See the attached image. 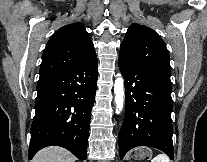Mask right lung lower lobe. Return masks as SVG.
I'll return each instance as SVG.
<instances>
[{
	"label": "right lung lower lobe",
	"mask_w": 207,
	"mask_h": 162,
	"mask_svg": "<svg viewBox=\"0 0 207 162\" xmlns=\"http://www.w3.org/2000/svg\"><path fill=\"white\" fill-rule=\"evenodd\" d=\"M97 59L41 77L28 158L57 145L86 160L91 109L95 100Z\"/></svg>",
	"instance_id": "98d812e1"
}]
</instances>
